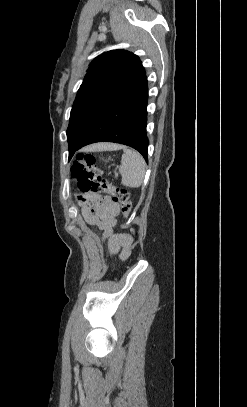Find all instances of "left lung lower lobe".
Wrapping results in <instances>:
<instances>
[{"label": "left lung lower lobe", "mask_w": 247, "mask_h": 407, "mask_svg": "<svg viewBox=\"0 0 247 407\" xmlns=\"http://www.w3.org/2000/svg\"><path fill=\"white\" fill-rule=\"evenodd\" d=\"M147 102L144 72L104 109L75 150L95 142H115L136 149L147 161Z\"/></svg>", "instance_id": "obj_1"}]
</instances>
